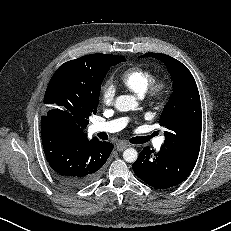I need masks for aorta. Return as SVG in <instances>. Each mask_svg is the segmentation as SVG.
I'll return each mask as SVG.
<instances>
[{"mask_svg":"<svg viewBox=\"0 0 231 231\" xmlns=\"http://www.w3.org/2000/svg\"><path fill=\"white\" fill-rule=\"evenodd\" d=\"M115 108L120 112L136 110L138 102L135 96L121 95L118 96L114 104ZM138 152L134 148H128L123 152V158L126 162L133 163L137 160Z\"/></svg>","mask_w":231,"mask_h":231,"instance_id":"762f6f07","label":"aorta"}]
</instances>
